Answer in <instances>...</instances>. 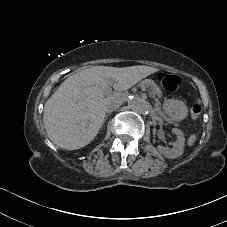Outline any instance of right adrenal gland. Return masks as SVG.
<instances>
[{"label":"right adrenal gland","mask_w":227,"mask_h":227,"mask_svg":"<svg viewBox=\"0 0 227 227\" xmlns=\"http://www.w3.org/2000/svg\"><path fill=\"white\" fill-rule=\"evenodd\" d=\"M107 118H108V115H106V116H105V118H104V122L107 120Z\"/></svg>","instance_id":"obj_1"}]
</instances>
